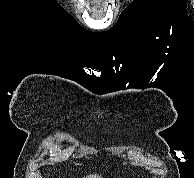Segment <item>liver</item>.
Segmentation results:
<instances>
[{"label": "liver", "instance_id": "obj_1", "mask_svg": "<svg viewBox=\"0 0 194 178\" xmlns=\"http://www.w3.org/2000/svg\"><path fill=\"white\" fill-rule=\"evenodd\" d=\"M85 178V177H84ZM86 178H102L101 176L97 175V174H93V175H88L86 176Z\"/></svg>", "mask_w": 194, "mask_h": 178}]
</instances>
